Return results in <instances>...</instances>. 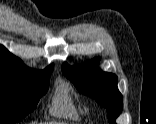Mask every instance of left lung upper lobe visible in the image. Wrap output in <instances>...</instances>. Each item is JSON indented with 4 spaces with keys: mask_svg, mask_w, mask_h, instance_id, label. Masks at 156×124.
Returning <instances> with one entry per match:
<instances>
[{
    "mask_svg": "<svg viewBox=\"0 0 156 124\" xmlns=\"http://www.w3.org/2000/svg\"><path fill=\"white\" fill-rule=\"evenodd\" d=\"M99 59L95 58L84 65H62L65 76L71 80L83 94L93 97L107 109L110 124H116L115 119L123 109V96L117 88V76L103 72L97 66Z\"/></svg>",
    "mask_w": 156,
    "mask_h": 124,
    "instance_id": "left-lung-upper-lobe-1",
    "label": "left lung upper lobe"
}]
</instances>
